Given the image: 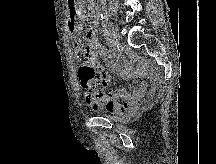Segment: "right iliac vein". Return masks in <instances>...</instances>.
I'll return each mask as SVG.
<instances>
[{
  "mask_svg": "<svg viewBox=\"0 0 216 164\" xmlns=\"http://www.w3.org/2000/svg\"><path fill=\"white\" fill-rule=\"evenodd\" d=\"M108 33L111 37V39L113 40L114 43H118L119 41V35H118V32H117V29L111 25V24H108Z\"/></svg>",
  "mask_w": 216,
  "mask_h": 164,
  "instance_id": "63e3f726",
  "label": "right iliac vein"
}]
</instances>
